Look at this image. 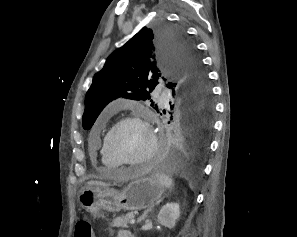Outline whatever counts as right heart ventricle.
Masks as SVG:
<instances>
[{
	"label": "right heart ventricle",
	"mask_w": 297,
	"mask_h": 237,
	"mask_svg": "<svg viewBox=\"0 0 297 237\" xmlns=\"http://www.w3.org/2000/svg\"><path fill=\"white\" fill-rule=\"evenodd\" d=\"M100 160L102 165L109 170H116L120 167V165L109 155L105 145V138L100 146Z\"/></svg>",
	"instance_id": "e07e8e85"
}]
</instances>
